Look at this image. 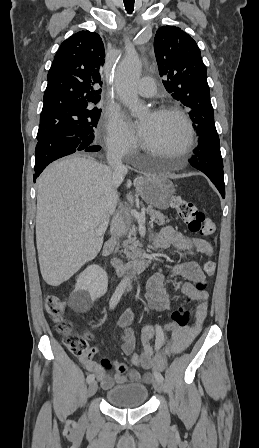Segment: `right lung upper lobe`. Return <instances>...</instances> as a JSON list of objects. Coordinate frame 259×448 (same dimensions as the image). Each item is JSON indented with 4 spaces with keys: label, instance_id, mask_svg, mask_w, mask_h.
I'll return each mask as SVG.
<instances>
[{
    "label": "right lung upper lobe",
    "instance_id": "1",
    "mask_svg": "<svg viewBox=\"0 0 259 448\" xmlns=\"http://www.w3.org/2000/svg\"><path fill=\"white\" fill-rule=\"evenodd\" d=\"M105 50L101 37L80 31L65 40L48 72L41 114L69 112L101 98Z\"/></svg>",
    "mask_w": 259,
    "mask_h": 448
}]
</instances>
